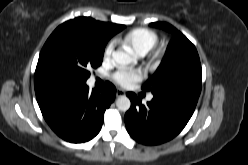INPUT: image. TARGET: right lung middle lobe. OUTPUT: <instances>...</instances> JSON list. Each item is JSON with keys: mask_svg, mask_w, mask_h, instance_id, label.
<instances>
[{"mask_svg": "<svg viewBox=\"0 0 248 165\" xmlns=\"http://www.w3.org/2000/svg\"><path fill=\"white\" fill-rule=\"evenodd\" d=\"M106 41L83 33L75 27L60 25L44 44L35 77L64 87L86 85L89 69L103 60Z\"/></svg>", "mask_w": 248, "mask_h": 165, "instance_id": "1", "label": "right lung middle lobe"}]
</instances>
